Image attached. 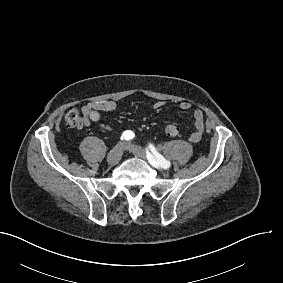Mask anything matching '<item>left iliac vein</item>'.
Returning <instances> with one entry per match:
<instances>
[{
    "label": "left iliac vein",
    "mask_w": 283,
    "mask_h": 283,
    "mask_svg": "<svg viewBox=\"0 0 283 283\" xmlns=\"http://www.w3.org/2000/svg\"><path fill=\"white\" fill-rule=\"evenodd\" d=\"M123 149L131 151L134 155H136V156H138L142 159H145L146 155H147L146 151L142 147L137 146V145H133L129 142H127L123 145ZM153 166L157 169L163 170V167H161L159 164L153 165Z\"/></svg>",
    "instance_id": "4c4485c4"
}]
</instances>
